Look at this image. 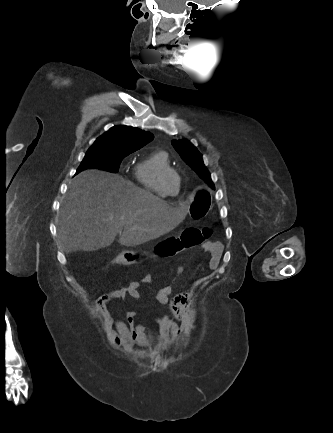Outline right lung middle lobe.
Instances as JSON below:
<instances>
[{
  "label": "right lung middle lobe",
  "instance_id": "1",
  "mask_svg": "<svg viewBox=\"0 0 333 433\" xmlns=\"http://www.w3.org/2000/svg\"><path fill=\"white\" fill-rule=\"evenodd\" d=\"M127 155H129V153L91 146L86 152L77 173L88 168H98L116 173L119 170L121 161Z\"/></svg>",
  "mask_w": 333,
  "mask_h": 433
}]
</instances>
